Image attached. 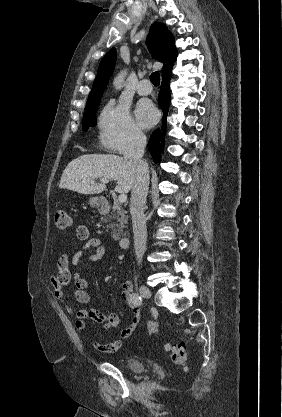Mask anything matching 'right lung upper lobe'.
<instances>
[{"instance_id": "right-lung-upper-lobe-1", "label": "right lung upper lobe", "mask_w": 282, "mask_h": 417, "mask_svg": "<svg viewBox=\"0 0 282 417\" xmlns=\"http://www.w3.org/2000/svg\"><path fill=\"white\" fill-rule=\"evenodd\" d=\"M147 44L152 56L164 63L162 74L171 70L177 58V51L174 45V37L167 30L165 24L156 22L151 26L148 34ZM116 62V50L112 48L101 60L97 76L94 80L90 96L101 95L114 70Z\"/></svg>"}]
</instances>
